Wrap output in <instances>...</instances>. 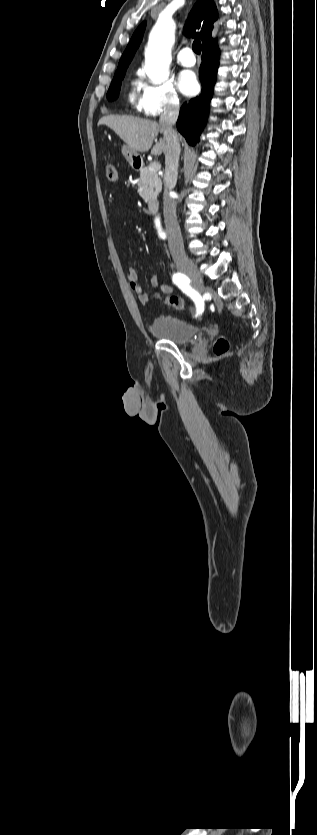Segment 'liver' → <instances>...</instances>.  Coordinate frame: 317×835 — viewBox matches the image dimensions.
Returning a JSON list of instances; mask_svg holds the SVG:
<instances>
[{
    "label": "liver",
    "mask_w": 317,
    "mask_h": 835,
    "mask_svg": "<svg viewBox=\"0 0 317 835\" xmlns=\"http://www.w3.org/2000/svg\"><path fill=\"white\" fill-rule=\"evenodd\" d=\"M106 125L112 129L133 151L147 152L154 139L163 130L156 121L130 116L106 115L100 118L98 126ZM165 139L160 140L151 149V154L160 156L165 152Z\"/></svg>",
    "instance_id": "obj_1"
}]
</instances>
